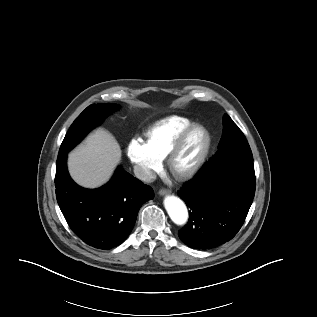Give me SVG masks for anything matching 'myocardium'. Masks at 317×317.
I'll list each match as a JSON object with an SVG mask.
<instances>
[{
    "label": "myocardium",
    "instance_id": "obj_1",
    "mask_svg": "<svg viewBox=\"0 0 317 317\" xmlns=\"http://www.w3.org/2000/svg\"><path fill=\"white\" fill-rule=\"evenodd\" d=\"M195 132H200L203 136L201 150L196 160L189 167L179 170L175 167L176 159L179 156L188 138ZM210 144L211 137L208 130L203 125L192 124L177 137L166 156V162L169 171L179 180H188L192 178L204 164L209 153Z\"/></svg>",
    "mask_w": 317,
    "mask_h": 317
}]
</instances>
